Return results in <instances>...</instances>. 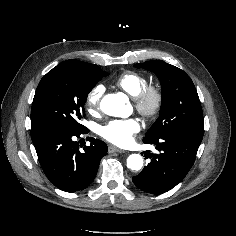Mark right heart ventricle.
<instances>
[{
    "instance_id": "e07e8e85",
    "label": "right heart ventricle",
    "mask_w": 236,
    "mask_h": 236,
    "mask_svg": "<svg viewBox=\"0 0 236 236\" xmlns=\"http://www.w3.org/2000/svg\"><path fill=\"white\" fill-rule=\"evenodd\" d=\"M115 83L117 87L134 98L148 85V79L141 73L127 71L122 73Z\"/></svg>"
}]
</instances>
